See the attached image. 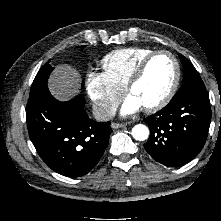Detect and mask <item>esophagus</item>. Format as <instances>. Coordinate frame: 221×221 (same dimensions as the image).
I'll return each mask as SVG.
<instances>
[{
  "label": "esophagus",
  "mask_w": 221,
  "mask_h": 221,
  "mask_svg": "<svg viewBox=\"0 0 221 221\" xmlns=\"http://www.w3.org/2000/svg\"><path fill=\"white\" fill-rule=\"evenodd\" d=\"M126 126V124H124V123H115V122H113L112 124H111V127L113 128V129H118V128H122V127H125Z\"/></svg>",
  "instance_id": "obj_1"
}]
</instances>
